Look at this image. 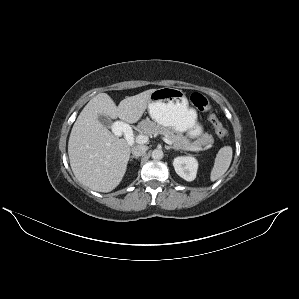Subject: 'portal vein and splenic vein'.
I'll list each match as a JSON object with an SVG mask.
<instances>
[{
	"mask_svg": "<svg viewBox=\"0 0 299 299\" xmlns=\"http://www.w3.org/2000/svg\"><path fill=\"white\" fill-rule=\"evenodd\" d=\"M163 141L169 145H172V141L169 140L168 138L166 137H163L162 138ZM133 140V139H132ZM135 142L138 143V144H145L149 141V137L147 135H138L135 139ZM186 150H191V151H201L203 150V148L201 147H195V146H192V147H187Z\"/></svg>",
	"mask_w": 299,
	"mask_h": 299,
	"instance_id": "obj_1",
	"label": "portal vein and splenic vein"
}]
</instances>
